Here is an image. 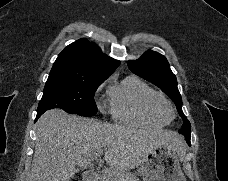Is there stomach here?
Wrapping results in <instances>:
<instances>
[{
    "label": "stomach",
    "mask_w": 228,
    "mask_h": 181,
    "mask_svg": "<svg viewBox=\"0 0 228 181\" xmlns=\"http://www.w3.org/2000/svg\"><path fill=\"white\" fill-rule=\"evenodd\" d=\"M143 181H186L173 147H155L139 165Z\"/></svg>",
    "instance_id": "0dacf381"
}]
</instances>
